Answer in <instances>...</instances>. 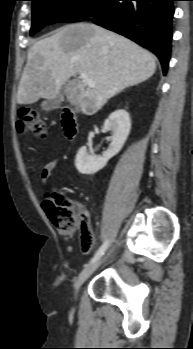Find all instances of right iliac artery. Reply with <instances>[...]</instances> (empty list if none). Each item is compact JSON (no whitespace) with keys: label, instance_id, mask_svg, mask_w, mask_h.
Listing matches in <instances>:
<instances>
[{"label":"right iliac artery","instance_id":"1","mask_svg":"<svg viewBox=\"0 0 193 349\" xmlns=\"http://www.w3.org/2000/svg\"><path fill=\"white\" fill-rule=\"evenodd\" d=\"M108 240H106L101 247L98 249V251L96 252V254L93 256V258L91 259L90 263H94L96 262L105 252V250L108 247Z\"/></svg>","mask_w":193,"mask_h":349}]
</instances>
